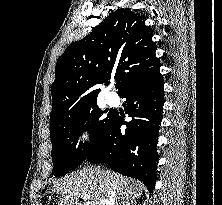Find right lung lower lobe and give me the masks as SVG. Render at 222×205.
<instances>
[{
  "instance_id": "obj_1",
  "label": "right lung lower lobe",
  "mask_w": 222,
  "mask_h": 205,
  "mask_svg": "<svg viewBox=\"0 0 222 205\" xmlns=\"http://www.w3.org/2000/svg\"><path fill=\"white\" fill-rule=\"evenodd\" d=\"M163 86L159 68L128 84L119 95L126 98L124 110L132 120L124 122L114 114L85 160L108 164L112 170L142 181L152 192L159 159L156 144L164 104ZM122 125L127 126L125 131H121Z\"/></svg>"
}]
</instances>
